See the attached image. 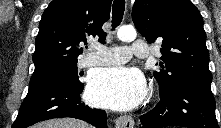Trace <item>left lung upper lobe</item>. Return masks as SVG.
Instances as JSON below:
<instances>
[{
  "label": "left lung upper lobe",
  "mask_w": 221,
  "mask_h": 128,
  "mask_svg": "<svg viewBox=\"0 0 221 128\" xmlns=\"http://www.w3.org/2000/svg\"><path fill=\"white\" fill-rule=\"evenodd\" d=\"M132 19L149 43L162 41V69L154 72L160 96L191 83L211 85L203 19L190 0H136Z\"/></svg>",
  "instance_id": "left-lung-upper-lobe-1"
}]
</instances>
